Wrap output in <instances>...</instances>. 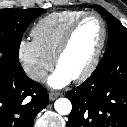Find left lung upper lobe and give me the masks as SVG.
I'll return each instance as SVG.
<instances>
[{"mask_svg": "<svg viewBox=\"0 0 127 127\" xmlns=\"http://www.w3.org/2000/svg\"><path fill=\"white\" fill-rule=\"evenodd\" d=\"M93 7L100 8L98 5H94ZM106 19L109 37L106 51L100 63L108 60L118 51L127 49V29L110 13H106Z\"/></svg>", "mask_w": 127, "mask_h": 127, "instance_id": "obj_1", "label": "left lung upper lobe"}]
</instances>
